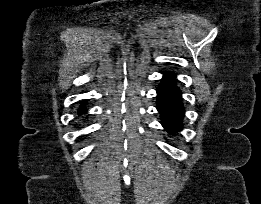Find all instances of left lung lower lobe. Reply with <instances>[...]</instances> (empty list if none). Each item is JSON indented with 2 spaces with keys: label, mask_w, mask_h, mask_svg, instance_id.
Segmentation results:
<instances>
[{
  "label": "left lung lower lobe",
  "mask_w": 261,
  "mask_h": 204,
  "mask_svg": "<svg viewBox=\"0 0 261 204\" xmlns=\"http://www.w3.org/2000/svg\"><path fill=\"white\" fill-rule=\"evenodd\" d=\"M174 73H164L163 81L157 88V110L161 123L169 134H175L183 128L185 109L181 90L176 85Z\"/></svg>",
  "instance_id": "left-lung-lower-lobe-1"
}]
</instances>
